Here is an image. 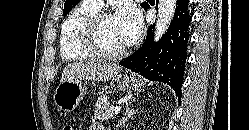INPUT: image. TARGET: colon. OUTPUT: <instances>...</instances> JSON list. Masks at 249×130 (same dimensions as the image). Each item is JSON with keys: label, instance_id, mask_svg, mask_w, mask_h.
<instances>
[{"label": "colon", "instance_id": "1", "mask_svg": "<svg viewBox=\"0 0 249 130\" xmlns=\"http://www.w3.org/2000/svg\"><path fill=\"white\" fill-rule=\"evenodd\" d=\"M62 130H76L72 125H65Z\"/></svg>", "mask_w": 249, "mask_h": 130}]
</instances>
